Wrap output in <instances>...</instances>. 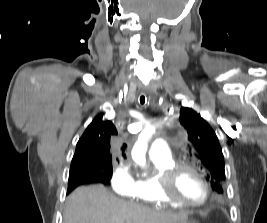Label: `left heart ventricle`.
<instances>
[{"label": "left heart ventricle", "mask_w": 267, "mask_h": 223, "mask_svg": "<svg viewBox=\"0 0 267 223\" xmlns=\"http://www.w3.org/2000/svg\"><path fill=\"white\" fill-rule=\"evenodd\" d=\"M174 190L187 201L199 202L205 196V187L201 179L192 171L184 170L177 177Z\"/></svg>", "instance_id": "1"}]
</instances>
